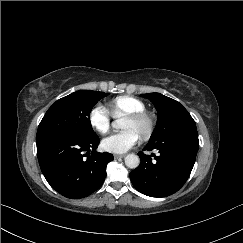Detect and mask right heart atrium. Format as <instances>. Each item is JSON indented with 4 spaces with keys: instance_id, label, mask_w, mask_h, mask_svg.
<instances>
[{
    "instance_id": "right-heart-atrium-1",
    "label": "right heart atrium",
    "mask_w": 243,
    "mask_h": 243,
    "mask_svg": "<svg viewBox=\"0 0 243 243\" xmlns=\"http://www.w3.org/2000/svg\"><path fill=\"white\" fill-rule=\"evenodd\" d=\"M90 126L99 133H106L111 125V115L101 105L93 106L88 113Z\"/></svg>"
}]
</instances>
